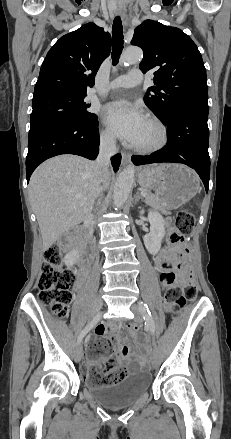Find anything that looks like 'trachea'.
I'll return each mask as SVG.
<instances>
[{"label":"trachea","mask_w":231,"mask_h":439,"mask_svg":"<svg viewBox=\"0 0 231 439\" xmlns=\"http://www.w3.org/2000/svg\"><path fill=\"white\" fill-rule=\"evenodd\" d=\"M123 26L120 17H115L112 26V60L113 65L118 63L123 50Z\"/></svg>","instance_id":"1"}]
</instances>
